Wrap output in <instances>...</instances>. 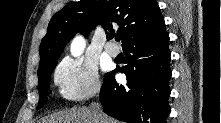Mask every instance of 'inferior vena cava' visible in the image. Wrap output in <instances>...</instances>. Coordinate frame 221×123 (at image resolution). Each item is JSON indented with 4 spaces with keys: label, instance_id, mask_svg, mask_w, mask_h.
Returning a JSON list of instances; mask_svg holds the SVG:
<instances>
[{
    "label": "inferior vena cava",
    "instance_id": "1",
    "mask_svg": "<svg viewBox=\"0 0 221 123\" xmlns=\"http://www.w3.org/2000/svg\"><path fill=\"white\" fill-rule=\"evenodd\" d=\"M90 109L93 115V122L102 123V110L100 104L92 103Z\"/></svg>",
    "mask_w": 221,
    "mask_h": 123
}]
</instances>
